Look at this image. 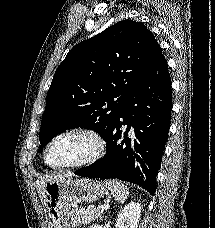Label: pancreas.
<instances>
[{"label": "pancreas", "mask_w": 215, "mask_h": 228, "mask_svg": "<svg viewBox=\"0 0 215 228\" xmlns=\"http://www.w3.org/2000/svg\"><path fill=\"white\" fill-rule=\"evenodd\" d=\"M102 214H104V210H101V208H90V210H85V208L76 210V208H72L70 212L71 224L72 226L90 224V222H95V220L102 218Z\"/></svg>", "instance_id": "1"}]
</instances>
